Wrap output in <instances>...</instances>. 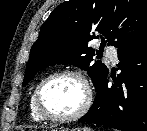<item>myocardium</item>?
<instances>
[{
	"label": "myocardium",
	"mask_w": 147,
	"mask_h": 131,
	"mask_svg": "<svg viewBox=\"0 0 147 131\" xmlns=\"http://www.w3.org/2000/svg\"><path fill=\"white\" fill-rule=\"evenodd\" d=\"M63 76H72L79 79L82 82L86 91V99L83 106L77 112L70 115L52 114L47 110L43 103V92L46 86L52 80ZM34 102L38 113L42 116L43 119L53 122H70L81 118L89 111L93 102V93L87 77L81 71L75 69H64L51 73L41 80L35 90Z\"/></svg>",
	"instance_id": "f54148a6"
}]
</instances>
